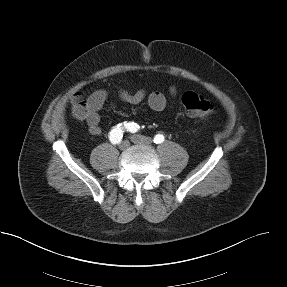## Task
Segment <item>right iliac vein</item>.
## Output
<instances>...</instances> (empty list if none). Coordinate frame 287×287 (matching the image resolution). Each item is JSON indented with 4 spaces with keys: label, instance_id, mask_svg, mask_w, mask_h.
I'll return each instance as SVG.
<instances>
[{
    "label": "right iliac vein",
    "instance_id": "63e3f726",
    "mask_svg": "<svg viewBox=\"0 0 287 287\" xmlns=\"http://www.w3.org/2000/svg\"><path fill=\"white\" fill-rule=\"evenodd\" d=\"M130 143L127 140H124L123 142L120 143L119 148L121 150H125L129 147Z\"/></svg>",
    "mask_w": 287,
    "mask_h": 287
}]
</instances>
